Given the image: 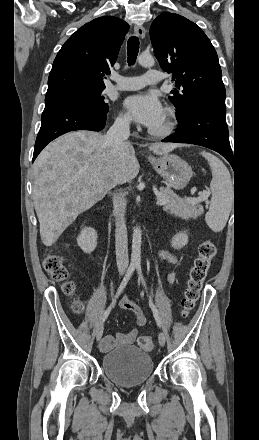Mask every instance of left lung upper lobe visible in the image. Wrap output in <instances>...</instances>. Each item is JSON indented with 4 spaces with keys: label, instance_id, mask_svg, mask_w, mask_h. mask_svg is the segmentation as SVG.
I'll list each match as a JSON object with an SVG mask.
<instances>
[{
    "label": "left lung upper lobe",
    "instance_id": "5c2ea615",
    "mask_svg": "<svg viewBox=\"0 0 259 440\" xmlns=\"http://www.w3.org/2000/svg\"><path fill=\"white\" fill-rule=\"evenodd\" d=\"M150 38L161 68L172 73L180 89L169 100L182 119L201 100L225 103L226 91L217 53L206 34L193 22L173 13H163L152 23Z\"/></svg>",
    "mask_w": 259,
    "mask_h": 440
}]
</instances>
